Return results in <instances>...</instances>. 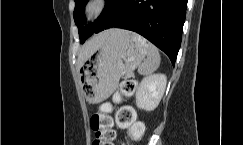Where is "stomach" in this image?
<instances>
[{
  "label": "stomach",
  "instance_id": "1",
  "mask_svg": "<svg viewBox=\"0 0 243 145\" xmlns=\"http://www.w3.org/2000/svg\"><path fill=\"white\" fill-rule=\"evenodd\" d=\"M141 39L130 31L110 30L101 47L81 69L85 99L90 103H100L116 90L120 78L132 72L147 53Z\"/></svg>",
  "mask_w": 243,
  "mask_h": 145
}]
</instances>
